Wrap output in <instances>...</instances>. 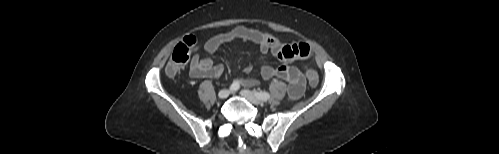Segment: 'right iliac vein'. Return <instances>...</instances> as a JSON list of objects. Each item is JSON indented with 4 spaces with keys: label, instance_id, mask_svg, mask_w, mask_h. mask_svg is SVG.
<instances>
[{
    "label": "right iliac vein",
    "instance_id": "right-iliac-vein-1",
    "mask_svg": "<svg viewBox=\"0 0 499 154\" xmlns=\"http://www.w3.org/2000/svg\"><path fill=\"white\" fill-rule=\"evenodd\" d=\"M229 94H230V90L223 89V90L219 91L218 97L221 99H226L229 96Z\"/></svg>",
    "mask_w": 499,
    "mask_h": 154
}]
</instances>
